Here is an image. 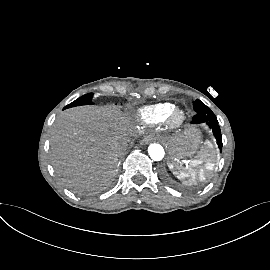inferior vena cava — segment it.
<instances>
[{
    "label": "inferior vena cava",
    "mask_w": 270,
    "mask_h": 270,
    "mask_svg": "<svg viewBox=\"0 0 270 270\" xmlns=\"http://www.w3.org/2000/svg\"><path fill=\"white\" fill-rule=\"evenodd\" d=\"M126 149H127V143L124 142L123 144H121V145L118 147V154H122L123 152H125Z\"/></svg>",
    "instance_id": "inferior-vena-cava-1"
}]
</instances>
